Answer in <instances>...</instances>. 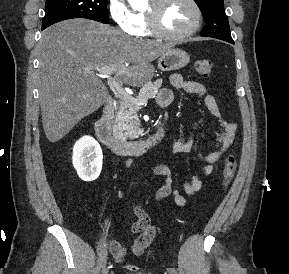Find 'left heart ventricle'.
I'll list each match as a JSON object with an SVG mask.
<instances>
[{"label": "left heart ventricle", "mask_w": 289, "mask_h": 274, "mask_svg": "<svg viewBox=\"0 0 289 274\" xmlns=\"http://www.w3.org/2000/svg\"><path fill=\"white\" fill-rule=\"evenodd\" d=\"M195 21V12L187 0H170L161 14V24L170 33H182Z\"/></svg>", "instance_id": "1"}]
</instances>
